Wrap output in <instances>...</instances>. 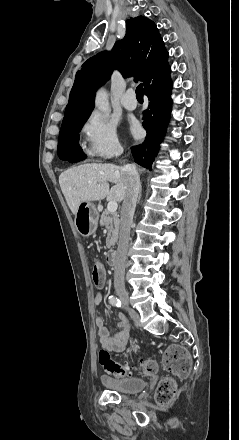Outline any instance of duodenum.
<instances>
[{
  "label": "duodenum",
  "mask_w": 239,
  "mask_h": 440,
  "mask_svg": "<svg viewBox=\"0 0 239 440\" xmlns=\"http://www.w3.org/2000/svg\"><path fill=\"white\" fill-rule=\"evenodd\" d=\"M107 263L110 266H116L118 263V254L115 250H110L107 254Z\"/></svg>",
  "instance_id": "410a0bca"
}]
</instances>
